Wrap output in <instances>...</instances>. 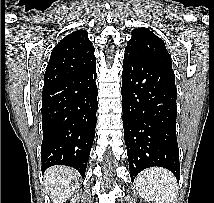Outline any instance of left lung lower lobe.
Listing matches in <instances>:
<instances>
[{
	"mask_svg": "<svg viewBox=\"0 0 214 203\" xmlns=\"http://www.w3.org/2000/svg\"><path fill=\"white\" fill-rule=\"evenodd\" d=\"M122 111L131 181L145 168L170 170L179 181L174 71L125 52Z\"/></svg>",
	"mask_w": 214,
	"mask_h": 203,
	"instance_id": "left-lung-lower-lobe-1",
	"label": "left lung lower lobe"
}]
</instances>
